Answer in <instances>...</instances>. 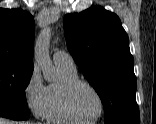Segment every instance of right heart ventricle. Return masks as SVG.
<instances>
[{"label": "right heart ventricle", "instance_id": "e07e8e85", "mask_svg": "<svg viewBox=\"0 0 156 124\" xmlns=\"http://www.w3.org/2000/svg\"><path fill=\"white\" fill-rule=\"evenodd\" d=\"M61 79L58 82L51 83L47 86L48 94V111L47 119L53 123L74 124V121L67 113L63 102V87L66 83L79 79L76 68L57 66Z\"/></svg>", "mask_w": 156, "mask_h": 124}]
</instances>
